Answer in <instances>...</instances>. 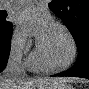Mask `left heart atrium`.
Here are the masks:
<instances>
[{
	"instance_id": "left-heart-atrium-1",
	"label": "left heart atrium",
	"mask_w": 89,
	"mask_h": 89,
	"mask_svg": "<svg viewBox=\"0 0 89 89\" xmlns=\"http://www.w3.org/2000/svg\"><path fill=\"white\" fill-rule=\"evenodd\" d=\"M17 22L26 33L43 39L53 25L50 15L36 7H27L17 14Z\"/></svg>"
}]
</instances>
